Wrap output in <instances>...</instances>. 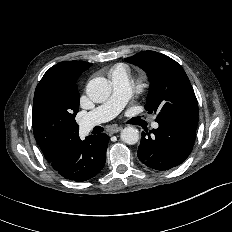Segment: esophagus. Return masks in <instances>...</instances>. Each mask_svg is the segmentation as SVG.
Returning <instances> with one entry per match:
<instances>
[{"mask_svg":"<svg viewBox=\"0 0 232 232\" xmlns=\"http://www.w3.org/2000/svg\"><path fill=\"white\" fill-rule=\"evenodd\" d=\"M122 129H123L122 126H113L109 129V133L114 134V133L121 131Z\"/></svg>","mask_w":232,"mask_h":232,"instance_id":"1","label":"esophagus"}]
</instances>
